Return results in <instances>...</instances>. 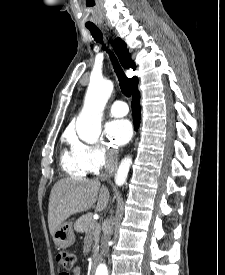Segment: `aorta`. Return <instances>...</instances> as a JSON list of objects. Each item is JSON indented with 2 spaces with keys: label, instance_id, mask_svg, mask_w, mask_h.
Returning a JSON list of instances; mask_svg holds the SVG:
<instances>
[{
  "label": "aorta",
  "instance_id": "762f6f07",
  "mask_svg": "<svg viewBox=\"0 0 225 275\" xmlns=\"http://www.w3.org/2000/svg\"><path fill=\"white\" fill-rule=\"evenodd\" d=\"M113 91L110 80H90L84 106L76 121V131L79 138L88 143H94L101 133L102 112ZM132 159L125 157L115 174V182L122 186L127 179ZM95 275H108L105 264H100Z\"/></svg>",
  "mask_w": 225,
  "mask_h": 275
}]
</instances>
